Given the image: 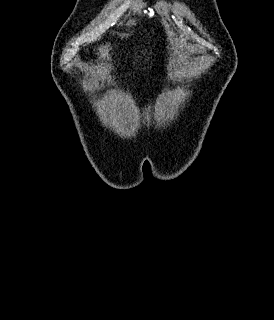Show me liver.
<instances>
[{"label": "liver", "instance_id": "1", "mask_svg": "<svg viewBox=\"0 0 274 320\" xmlns=\"http://www.w3.org/2000/svg\"><path fill=\"white\" fill-rule=\"evenodd\" d=\"M110 48L109 46H100L98 54H100L99 58H106L109 56Z\"/></svg>", "mask_w": 274, "mask_h": 320}]
</instances>
